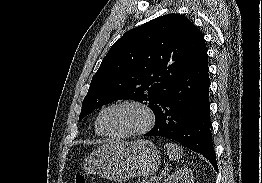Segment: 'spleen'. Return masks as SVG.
Returning <instances> with one entry per match:
<instances>
[{
	"mask_svg": "<svg viewBox=\"0 0 262 183\" xmlns=\"http://www.w3.org/2000/svg\"><path fill=\"white\" fill-rule=\"evenodd\" d=\"M164 149L170 160H179L183 156V149L177 144L167 143Z\"/></svg>",
	"mask_w": 262,
	"mask_h": 183,
	"instance_id": "3e777b00",
	"label": "spleen"
}]
</instances>
